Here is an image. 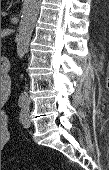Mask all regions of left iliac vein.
<instances>
[{
    "instance_id": "4c4485c4",
    "label": "left iliac vein",
    "mask_w": 109,
    "mask_h": 170,
    "mask_svg": "<svg viewBox=\"0 0 109 170\" xmlns=\"http://www.w3.org/2000/svg\"><path fill=\"white\" fill-rule=\"evenodd\" d=\"M22 125H23V127H25V128H29V127H30L31 121H30V118H29L28 113L23 117Z\"/></svg>"
}]
</instances>
